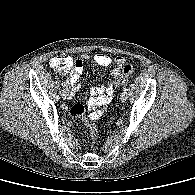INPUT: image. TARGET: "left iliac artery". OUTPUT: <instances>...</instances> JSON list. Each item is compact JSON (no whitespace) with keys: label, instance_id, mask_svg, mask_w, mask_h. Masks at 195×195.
Returning <instances> with one entry per match:
<instances>
[{"label":"left iliac artery","instance_id":"left-iliac-artery-1","mask_svg":"<svg viewBox=\"0 0 195 195\" xmlns=\"http://www.w3.org/2000/svg\"><path fill=\"white\" fill-rule=\"evenodd\" d=\"M127 90H128V88L126 86H124L123 91L126 92Z\"/></svg>","mask_w":195,"mask_h":195}]
</instances>
